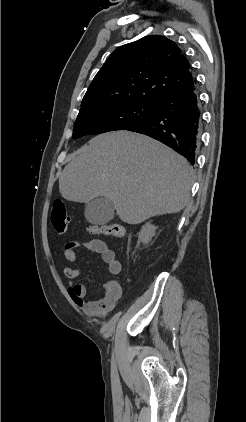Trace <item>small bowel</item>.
Returning a JSON list of instances; mask_svg holds the SVG:
<instances>
[{
	"label": "small bowel",
	"instance_id": "small-bowel-1",
	"mask_svg": "<svg viewBox=\"0 0 246 422\" xmlns=\"http://www.w3.org/2000/svg\"><path fill=\"white\" fill-rule=\"evenodd\" d=\"M83 245L89 251L101 256L102 260L108 265L109 272L117 275L122 270V264L117 259L115 252L100 239H92L84 243L69 242L63 249L65 259L74 264L73 267H64L62 272L69 281L68 294L72 301L79 307L84 308L89 314L101 316L109 312L115 306L122 295V286L119 281L111 279L106 283L103 295L98 299H87L86 287L74 280L80 274V268L77 264V255L75 247Z\"/></svg>",
	"mask_w": 246,
	"mask_h": 422
}]
</instances>
